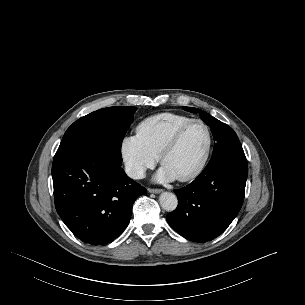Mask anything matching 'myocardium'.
Here are the masks:
<instances>
[{
	"mask_svg": "<svg viewBox=\"0 0 305 305\" xmlns=\"http://www.w3.org/2000/svg\"><path fill=\"white\" fill-rule=\"evenodd\" d=\"M193 124H200L205 128L207 133V145L203 157L198 166L186 175L177 177V180L181 182H187L198 177L203 172L208 163L213 145V135L209 125L201 119H191L190 121L186 122L174 132L168 142L163 146L158 156L160 163L163 165L164 158L166 157V155L178 145L183 133Z\"/></svg>",
	"mask_w": 305,
	"mask_h": 305,
	"instance_id": "f54148a6",
	"label": "myocardium"
}]
</instances>
